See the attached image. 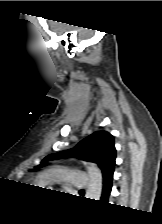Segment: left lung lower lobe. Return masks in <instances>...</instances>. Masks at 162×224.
<instances>
[{
  "mask_svg": "<svg viewBox=\"0 0 162 224\" xmlns=\"http://www.w3.org/2000/svg\"><path fill=\"white\" fill-rule=\"evenodd\" d=\"M112 179H113V172H111L109 175L103 178V189H102V196H101V201L103 203H107L108 201V197L110 195L111 188H112Z\"/></svg>",
  "mask_w": 162,
  "mask_h": 224,
  "instance_id": "1",
  "label": "left lung lower lobe"
}]
</instances>
